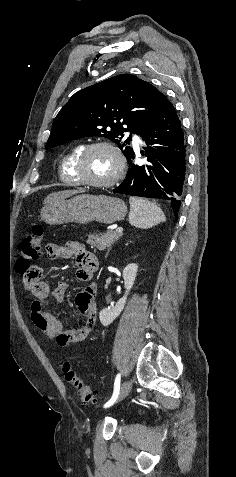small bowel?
<instances>
[{
    "label": "small bowel",
    "instance_id": "obj_1",
    "mask_svg": "<svg viewBox=\"0 0 236 477\" xmlns=\"http://www.w3.org/2000/svg\"><path fill=\"white\" fill-rule=\"evenodd\" d=\"M47 254L51 259L75 258L77 263L76 278L88 285L75 297V305L83 318L76 328H66L50 312L46 310L49 303L60 304L63 302L67 283L58 281L51 290L48 283L41 281L34 300L31 303V319L36 328L48 339L53 340L60 347H71L83 344L92 334L95 318L96 285L91 282L97 268L98 260L83 244L77 241H68L64 245L50 243L47 246Z\"/></svg>",
    "mask_w": 236,
    "mask_h": 477
}]
</instances>
